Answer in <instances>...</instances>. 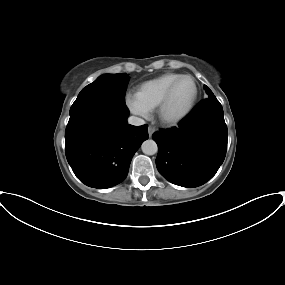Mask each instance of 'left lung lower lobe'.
Returning a JSON list of instances; mask_svg holds the SVG:
<instances>
[{
  "label": "left lung lower lobe",
  "instance_id": "left-lung-lower-lobe-1",
  "mask_svg": "<svg viewBox=\"0 0 285 285\" xmlns=\"http://www.w3.org/2000/svg\"><path fill=\"white\" fill-rule=\"evenodd\" d=\"M158 145L156 166L168 181L197 187L212 178L224 161L228 131L215 96L201 101L178 127L152 135Z\"/></svg>",
  "mask_w": 285,
  "mask_h": 285
}]
</instances>
